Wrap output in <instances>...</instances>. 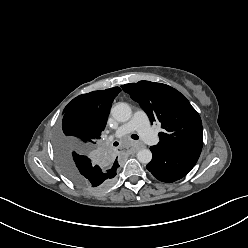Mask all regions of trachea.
Returning a JSON list of instances; mask_svg holds the SVG:
<instances>
[{"mask_svg":"<svg viewBox=\"0 0 248 248\" xmlns=\"http://www.w3.org/2000/svg\"><path fill=\"white\" fill-rule=\"evenodd\" d=\"M131 138L134 139V140H138V139H139L138 135H136V134H132V135H131ZM113 145H114V146H118L119 143H118V142H115Z\"/></svg>","mask_w":248,"mask_h":248,"instance_id":"3493384b","label":"trachea"}]
</instances>
